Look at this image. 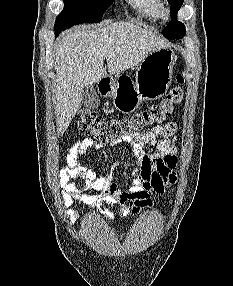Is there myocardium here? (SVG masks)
I'll return each mask as SVG.
<instances>
[{"label": "myocardium", "mask_w": 233, "mask_h": 286, "mask_svg": "<svg viewBox=\"0 0 233 286\" xmlns=\"http://www.w3.org/2000/svg\"><path fill=\"white\" fill-rule=\"evenodd\" d=\"M160 14L163 19L168 20L171 16L170 8L167 6L161 5Z\"/></svg>", "instance_id": "f54148a6"}]
</instances>
